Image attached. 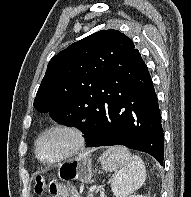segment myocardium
Returning <instances> with one entry per match:
<instances>
[{
    "mask_svg": "<svg viewBox=\"0 0 191 197\" xmlns=\"http://www.w3.org/2000/svg\"><path fill=\"white\" fill-rule=\"evenodd\" d=\"M54 131H63L71 135L72 147L60 157L53 160H44L39 153L41 140L49 133ZM86 145V134L77 124L71 122H56L44 128L35 140L34 152L36 158L44 165H55L77 155Z\"/></svg>",
    "mask_w": 191,
    "mask_h": 197,
    "instance_id": "myocardium-1",
    "label": "myocardium"
}]
</instances>
